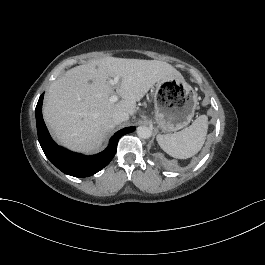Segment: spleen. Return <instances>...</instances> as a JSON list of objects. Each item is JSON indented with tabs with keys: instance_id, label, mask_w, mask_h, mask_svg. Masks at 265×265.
I'll use <instances>...</instances> for the list:
<instances>
[{
	"instance_id": "3e777b00",
	"label": "spleen",
	"mask_w": 265,
	"mask_h": 265,
	"mask_svg": "<svg viewBox=\"0 0 265 265\" xmlns=\"http://www.w3.org/2000/svg\"><path fill=\"white\" fill-rule=\"evenodd\" d=\"M207 126L205 116H200L187 128L173 134H158L157 142L169 155L188 158L201 148Z\"/></svg>"
}]
</instances>
